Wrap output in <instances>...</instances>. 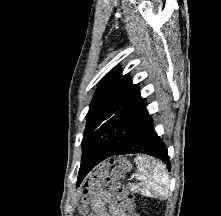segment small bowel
I'll return each mask as SVG.
<instances>
[{
    "label": "small bowel",
    "mask_w": 221,
    "mask_h": 216,
    "mask_svg": "<svg viewBox=\"0 0 221 216\" xmlns=\"http://www.w3.org/2000/svg\"><path fill=\"white\" fill-rule=\"evenodd\" d=\"M108 206L109 210H106ZM89 216H123L119 207L112 201L108 192L101 191L98 201L92 206Z\"/></svg>",
    "instance_id": "obj_1"
}]
</instances>
